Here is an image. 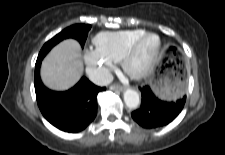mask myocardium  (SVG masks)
<instances>
[{
    "instance_id": "1",
    "label": "myocardium",
    "mask_w": 225,
    "mask_h": 155,
    "mask_svg": "<svg viewBox=\"0 0 225 155\" xmlns=\"http://www.w3.org/2000/svg\"><path fill=\"white\" fill-rule=\"evenodd\" d=\"M155 37L157 40L156 47L152 54L143 62V64L139 67H135L134 63L137 59L139 50L143 42L149 38ZM162 47V42L160 37L153 32H145L141 36H139L126 50L124 53L121 63L124 71L133 78L141 79L146 77L153 69L156 64L160 51Z\"/></svg>"
}]
</instances>
